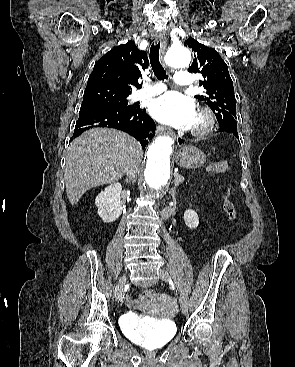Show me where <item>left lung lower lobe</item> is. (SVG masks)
I'll return each instance as SVG.
<instances>
[{
  "label": "left lung lower lobe",
  "mask_w": 295,
  "mask_h": 367,
  "mask_svg": "<svg viewBox=\"0 0 295 367\" xmlns=\"http://www.w3.org/2000/svg\"><path fill=\"white\" fill-rule=\"evenodd\" d=\"M219 131L220 132H225V133H228V134H231V135H234L236 138L239 139L238 132H237V127L236 126H233V125H223V126H220ZM179 142L182 143L183 140L179 139Z\"/></svg>",
  "instance_id": "1"
}]
</instances>
